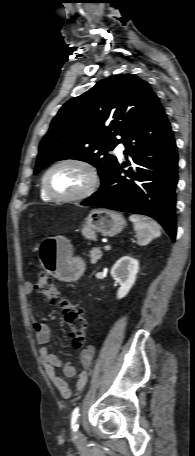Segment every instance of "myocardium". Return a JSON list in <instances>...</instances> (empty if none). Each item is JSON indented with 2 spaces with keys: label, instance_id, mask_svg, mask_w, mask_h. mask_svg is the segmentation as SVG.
<instances>
[{
  "label": "myocardium",
  "instance_id": "obj_1",
  "mask_svg": "<svg viewBox=\"0 0 195 456\" xmlns=\"http://www.w3.org/2000/svg\"><path fill=\"white\" fill-rule=\"evenodd\" d=\"M66 164L78 165V166L84 168L89 175V183H88L87 187L78 194L62 196V195L55 194L49 187L48 177H49L50 173L55 168L62 166V165H66ZM41 184H42V188H43L45 194L51 200L58 201V202L82 201V200L90 197L96 191V189L99 185V175H98L97 169L90 162H88L84 159H80V158H66V159L56 162L55 164H53L46 170V172L44 173V175L42 177Z\"/></svg>",
  "mask_w": 195,
  "mask_h": 456
}]
</instances>
